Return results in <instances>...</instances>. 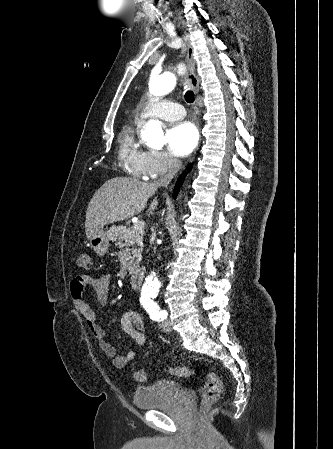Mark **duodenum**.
Wrapping results in <instances>:
<instances>
[{"label": "duodenum", "instance_id": "1", "mask_svg": "<svg viewBox=\"0 0 333 449\" xmlns=\"http://www.w3.org/2000/svg\"><path fill=\"white\" fill-rule=\"evenodd\" d=\"M144 278V272L141 269H134L130 273V284L134 290L141 288Z\"/></svg>", "mask_w": 333, "mask_h": 449}]
</instances>
